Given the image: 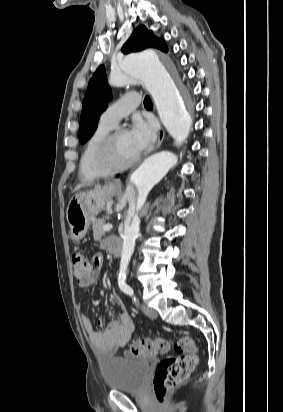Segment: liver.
Listing matches in <instances>:
<instances>
[{"label": "liver", "instance_id": "1", "mask_svg": "<svg viewBox=\"0 0 283 412\" xmlns=\"http://www.w3.org/2000/svg\"><path fill=\"white\" fill-rule=\"evenodd\" d=\"M81 187L82 185H78L75 190H79Z\"/></svg>", "mask_w": 283, "mask_h": 412}]
</instances>
